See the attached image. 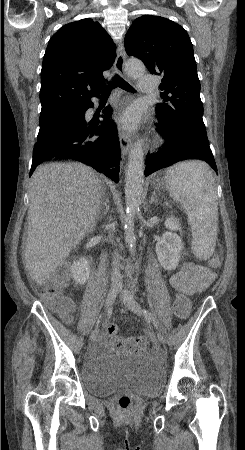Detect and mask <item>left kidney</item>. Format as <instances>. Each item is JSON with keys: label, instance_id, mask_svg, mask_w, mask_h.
<instances>
[{"label": "left kidney", "instance_id": "obj_1", "mask_svg": "<svg viewBox=\"0 0 245 450\" xmlns=\"http://www.w3.org/2000/svg\"><path fill=\"white\" fill-rule=\"evenodd\" d=\"M165 232L156 244V254L160 265L168 271L175 270L180 261V253L183 249L181 238L174 232L180 230L179 220L174 217L167 218Z\"/></svg>", "mask_w": 245, "mask_h": 450}]
</instances>
